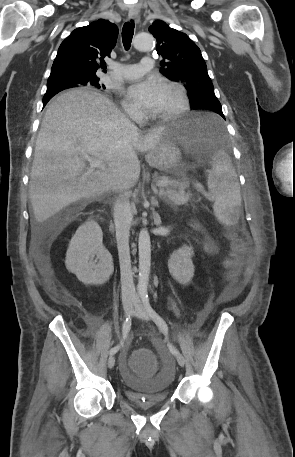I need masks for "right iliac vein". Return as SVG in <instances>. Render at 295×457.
<instances>
[{"label": "right iliac vein", "instance_id": "right-iliac-vein-1", "mask_svg": "<svg viewBox=\"0 0 295 457\" xmlns=\"http://www.w3.org/2000/svg\"><path fill=\"white\" fill-rule=\"evenodd\" d=\"M132 309V301L131 300H126L123 303V310H124V316L127 317L129 313L131 312ZM115 365V357L114 354H111L108 358V367L113 368Z\"/></svg>", "mask_w": 295, "mask_h": 457}]
</instances>
